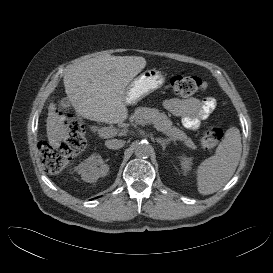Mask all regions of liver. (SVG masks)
Here are the masks:
<instances>
[{
    "mask_svg": "<svg viewBox=\"0 0 273 273\" xmlns=\"http://www.w3.org/2000/svg\"><path fill=\"white\" fill-rule=\"evenodd\" d=\"M146 66L139 56H99L72 66L63 78L65 92L82 117L110 124L128 117L125 89ZM67 122V123H65ZM49 144L59 148L69 138V119L59 116L53 102L46 120Z\"/></svg>",
    "mask_w": 273,
    "mask_h": 273,
    "instance_id": "liver-1",
    "label": "liver"
}]
</instances>
